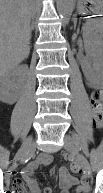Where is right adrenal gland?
<instances>
[{
    "label": "right adrenal gland",
    "mask_w": 103,
    "mask_h": 193,
    "mask_svg": "<svg viewBox=\"0 0 103 193\" xmlns=\"http://www.w3.org/2000/svg\"><path fill=\"white\" fill-rule=\"evenodd\" d=\"M34 30V25L32 23L31 28H30V34H29V38L31 39L32 36V31Z\"/></svg>",
    "instance_id": "2a0ac1e0"
}]
</instances>
